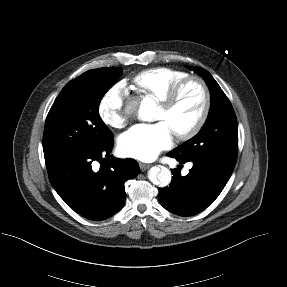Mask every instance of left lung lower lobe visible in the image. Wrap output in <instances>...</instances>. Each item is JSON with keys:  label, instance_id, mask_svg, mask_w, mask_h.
I'll use <instances>...</instances> for the list:
<instances>
[{"label": "left lung lower lobe", "instance_id": "obj_1", "mask_svg": "<svg viewBox=\"0 0 287 287\" xmlns=\"http://www.w3.org/2000/svg\"><path fill=\"white\" fill-rule=\"evenodd\" d=\"M181 164L192 162L186 176H181L180 166L171 169L170 185L159 190L160 204L180 216H193L203 211L219 196L228 182L234 166L208 155L182 157L173 151L167 154Z\"/></svg>", "mask_w": 287, "mask_h": 287}]
</instances>
